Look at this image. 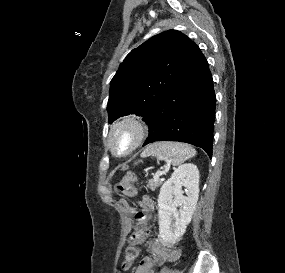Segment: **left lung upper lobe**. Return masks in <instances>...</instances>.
Segmentation results:
<instances>
[{
  "label": "left lung upper lobe",
  "instance_id": "1",
  "mask_svg": "<svg viewBox=\"0 0 285 273\" xmlns=\"http://www.w3.org/2000/svg\"><path fill=\"white\" fill-rule=\"evenodd\" d=\"M191 45L186 35L169 30L132 50L110 83L109 123L129 114L145 119L181 73Z\"/></svg>",
  "mask_w": 285,
  "mask_h": 273
}]
</instances>
